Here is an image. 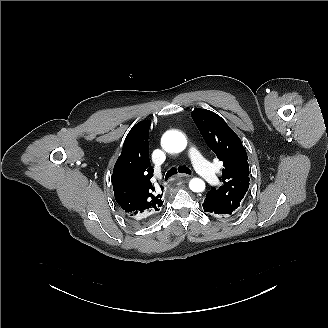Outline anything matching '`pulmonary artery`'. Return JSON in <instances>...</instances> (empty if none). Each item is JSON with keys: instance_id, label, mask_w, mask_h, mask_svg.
<instances>
[{"instance_id": "pulmonary-artery-1", "label": "pulmonary artery", "mask_w": 328, "mask_h": 328, "mask_svg": "<svg viewBox=\"0 0 328 328\" xmlns=\"http://www.w3.org/2000/svg\"><path fill=\"white\" fill-rule=\"evenodd\" d=\"M186 157L191 164H194L193 168L197 174L205 178L211 177L214 174V167L211 164L201 161V154L197 150H190Z\"/></svg>"}]
</instances>
